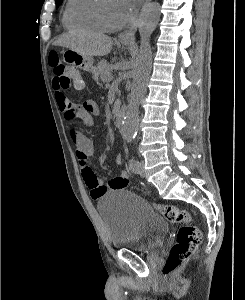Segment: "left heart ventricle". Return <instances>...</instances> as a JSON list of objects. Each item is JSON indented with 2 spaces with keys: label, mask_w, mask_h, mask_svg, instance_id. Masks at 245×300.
<instances>
[{
  "label": "left heart ventricle",
  "mask_w": 245,
  "mask_h": 300,
  "mask_svg": "<svg viewBox=\"0 0 245 300\" xmlns=\"http://www.w3.org/2000/svg\"><path fill=\"white\" fill-rule=\"evenodd\" d=\"M103 12L110 24H118L126 20V16L118 0H103Z\"/></svg>",
  "instance_id": "left-heart-ventricle-1"
}]
</instances>
